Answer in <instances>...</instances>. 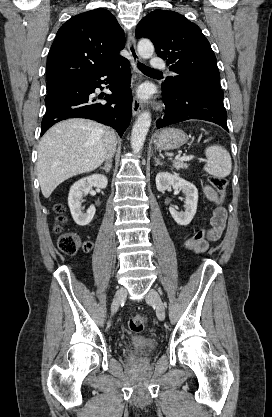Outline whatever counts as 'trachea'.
Returning a JSON list of instances; mask_svg holds the SVG:
<instances>
[{
  "instance_id": "obj_1",
  "label": "trachea",
  "mask_w": 272,
  "mask_h": 417,
  "mask_svg": "<svg viewBox=\"0 0 272 417\" xmlns=\"http://www.w3.org/2000/svg\"><path fill=\"white\" fill-rule=\"evenodd\" d=\"M137 66L145 74H148V73H161L158 70H154V69H152L150 67H147V66L143 65L142 63H138Z\"/></svg>"
}]
</instances>
